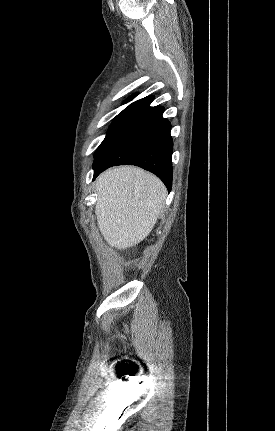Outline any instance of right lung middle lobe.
Here are the masks:
<instances>
[{
	"mask_svg": "<svg viewBox=\"0 0 275 431\" xmlns=\"http://www.w3.org/2000/svg\"><path fill=\"white\" fill-rule=\"evenodd\" d=\"M135 114L129 112H121L113 120L110 129L103 140V142L98 147L95 158L100 153V151L108 144V142L120 131V129L134 116Z\"/></svg>",
	"mask_w": 275,
	"mask_h": 431,
	"instance_id": "dd1d6c3e",
	"label": "right lung middle lobe"
}]
</instances>
